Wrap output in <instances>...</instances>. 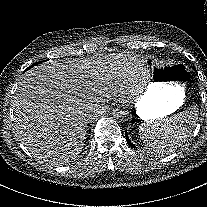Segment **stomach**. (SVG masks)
<instances>
[{"instance_id":"stomach-1","label":"stomach","mask_w":207,"mask_h":207,"mask_svg":"<svg viewBox=\"0 0 207 207\" xmlns=\"http://www.w3.org/2000/svg\"><path fill=\"white\" fill-rule=\"evenodd\" d=\"M150 82L136 102V113L145 122L157 121L175 112L184 103L185 87L190 74L183 63L159 64L144 60Z\"/></svg>"}]
</instances>
